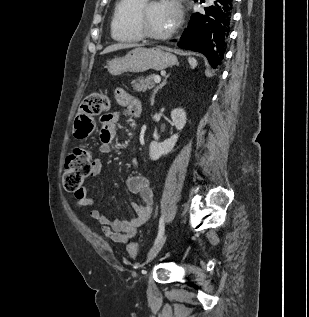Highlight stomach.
Listing matches in <instances>:
<instances>
[{"label": "stomach", "instance_id": "stomach-1", "mask_svg": "<svg viewBox=\"0 0 309 317\" xmlns=\"http://www.w3.org/2000/svg\"><path fill=\"white\" fill-rule=\"evenodd\" d=\"M177 63V58L160 47H137L123 57H115L108 62V71L117 76L125 72L140 73L149 69L164 70Z\"/></svg>", "mask_w": 309, "mask_h": 317}]
</instances>
